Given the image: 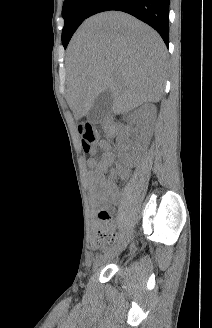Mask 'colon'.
<instances>
[{
    "mask_svg": "<svg viewBox=\"0 0 212 328\" xmlns=\"http://www.w3.org/2000/svg\"><path fill=\"white\" fill-rule=\"evenodd\" d=\"M79 133L81 135V142L83 150L86 153L92 151L94 145L98 140V133L95 128L89 123H81L79 125ZM99 218L102 221L96 233V244L98 247H107L113 243L115 234L110 227V213L104 210L99 213Z\"/></svg>",
    "mask_w": 212,
    "mask_h": 328,
    "instance_id": "obj_1",
    "label": "colon"
}]
</instances>
